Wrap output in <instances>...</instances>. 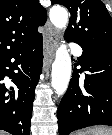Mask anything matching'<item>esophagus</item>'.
<instances>
[{"instance_id": "esophagus-1", "label": "esophagus", "mask_w": 112, "mask_h": 135, "mask_svg": "<svg viewBox=\"0 0 112 135\" xmlns=\"http://www.w3.org/2000/svg\"><path fill=\"white\" fill-rule=\"evenodd\" d=\"M44 68L51 64L56 47L58 45V31L51 25L48 26L45 35Z\"/></svg>"}]
</instances>
